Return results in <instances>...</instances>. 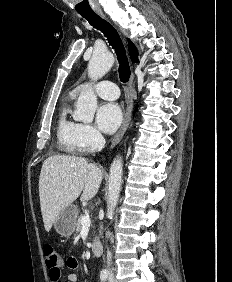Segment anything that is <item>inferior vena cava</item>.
<instances>
[{
	"label": "inferior vena cava",
	"instance_id": "inferior-vena-cava-1",
	"mask_svg": "<svg viewBox=\"0 0 232 282\" xmlns=\"http://www.w3.org/2000/svg\"><path fill=\"white\" fill-rule=\"evenodd\" d=\"M104 145H105L104 137L101 134H98V136H97V147H98V150L100 151L104 147ZM107 264H108V266L111 265V253L109 251L107 252ZM113 278H114L113 273L110 270L109 271V281L113 282Z\"/></svg>",
	"mask_w": 232,
	"mask_h": 282
}]
</instances>
